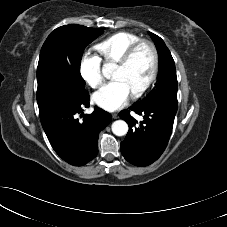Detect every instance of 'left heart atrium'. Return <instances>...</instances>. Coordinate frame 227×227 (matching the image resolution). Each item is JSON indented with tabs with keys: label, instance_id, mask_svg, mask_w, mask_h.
Returning <instances> with one entry per match:
<instances>
[{
	"label": "left heart atrium",
	"instance_id": "1",
	"mask_svg": "<svg viewBox=\"0 0 227 227\" xmlns=\"http://www.w3.org/2000/svg\"><path fill=\"white\" fill-rule=\"evenodd\" d=\"M131 93L126 85L114 79L93 95L94 102L107 111H116L125 106Z\"/></svg>",
	"mask_w": 227,
	"mask_h": 227
}]
</instances>
